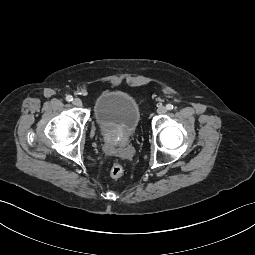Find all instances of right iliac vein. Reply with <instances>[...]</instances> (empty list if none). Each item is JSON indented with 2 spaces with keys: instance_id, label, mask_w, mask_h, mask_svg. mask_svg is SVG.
Here are the masks:
<instances>
[{
  "instance_id": "right-iliac-vein-1",
  "label": "right iliac vein",
  "mask_w": 255,
  "mask_h": 255,
  "mask_svg": "<svg viewBox=\"0 0 255 255\" xmlns=\"http://www.w3.org/2000/svg\"><path fill=\"white\" fill-rule=\"evenodd\" d=\"M72 103H73V105H75L77 107L82 106V101L79 98H75Z\"/></svg>"
}]
</instances>
